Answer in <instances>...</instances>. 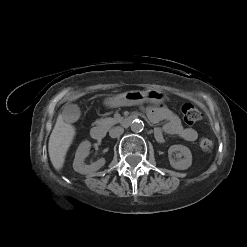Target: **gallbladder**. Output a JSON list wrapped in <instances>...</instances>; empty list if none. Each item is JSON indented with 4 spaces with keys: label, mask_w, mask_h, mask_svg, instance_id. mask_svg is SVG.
I'll use <instances>...</instances> for the list:
<instances>
[{
    "label": "gallbladder",
    "mask_w": 247,
    "mask_h": 247,
    "mask_svg": "<svg viewBox=\"0 0 247 247\" xmlns=\"http://www.w3.org/2000/svg\"><path fill=\"white\" fill-rule=\"evenodd\" d=\"M80 108L75 104L66 106L62 112L63 120L67 123H73L80 117Z\"/></svg>",
    "instance_id": "gallbladder-1"
}]
</instances>
